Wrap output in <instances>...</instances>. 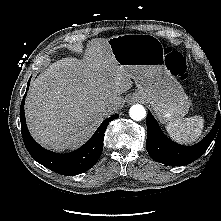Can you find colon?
<instances>
[{"label":"colon","instance_id":"5ec220e1","mask_svg":"<svg viewBox=\"0 0 221 221\" xmlns=\"http://www.w3.org/2000/svg\"><path fill=\"white\" fill-rule=\"evenodd\" d=\"M166 63L171 74L178 77L185 85L191 83L189 63L181 53L167 50Z\"/></svg>","mask_w":221,"mask_h":221}]
</instances>
